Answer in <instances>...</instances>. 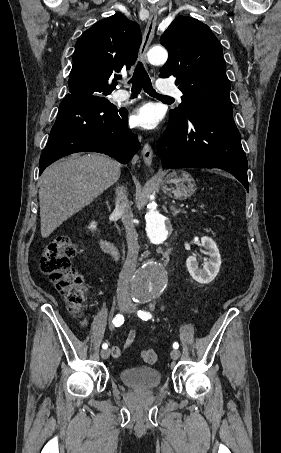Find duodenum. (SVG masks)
I'll return each instance as SVG.
<instances>
[{
    "instance_id": "duodenum-1",
    "label": "duodenum",
    "mask_w": 281,
    "mask_h": 453,
    "mask_svg": "<svg viewBox=\"0 0 281 453\" xmlns=\"http://www.w3.org/2000/svg\"><path fill=\"white\" fill-rule=\"evenodd\" d=\"M101 246L105 252L109 253L115 258L118 257L119 255L118 249L112 242L104 240L102 241Z\"/></svg>"
}]
</instances>
